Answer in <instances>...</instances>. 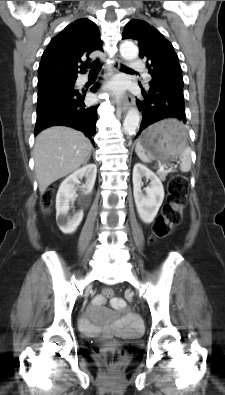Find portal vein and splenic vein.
Returning a JSON list of instances; mask_svg holds the SVG:
<instances>
[{
    "mask_svg": "<svg viewBox=\"0 0 225 395\" xmlns=\"http://www.w3.org/2000/svg\"><path fill=\"white\" fill-rule=\"evenodd\" d=\"M159 171H164V165L163 164H159Z\"/></svg>",
    "mask_w": 225,
    "mask_h": 395,
    "instance_id": "portal-vein-and-splenic-vein-1",
    "label": "portal vein and splenic vein"
}]
</instances>
